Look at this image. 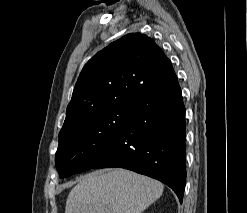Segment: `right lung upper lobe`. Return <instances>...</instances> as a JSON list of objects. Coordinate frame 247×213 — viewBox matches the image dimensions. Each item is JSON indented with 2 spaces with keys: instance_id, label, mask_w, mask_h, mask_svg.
<instances>
[{
  "instance_id": "right-lung-upper-lobe-1",
  "label": "right lung upper lobe",
  "mask_w": 247,
  "mask_h": 213,
  "mask_svg": "<svg viewBox=\"0 0 247 213\" xmlns=\"http://www.w3.org/2000/svg\"><path fill=\"white\" fill-rule=\"evenodd\" d=\"M174 75L171 61L151 38L137 33L123 36L82 69L59 135Z\"/></svg>"
}]
</instances>
